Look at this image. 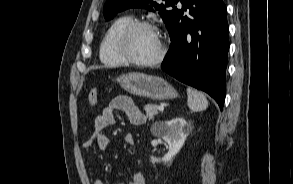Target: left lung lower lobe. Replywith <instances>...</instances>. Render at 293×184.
<instances>
[{"instance_id":"1","label":"left lung lower lobe","mask_w":293,"mask_h":184,"mask_svg":"<svg viewBox=\"0 0 293 184\" xmlns=\"http://www.w3.org/2000/svg\"><path fill=\"white\" fill-rule=\"evenodd\" d=\"M169 26L171 45L161 68L179 81L203 90L222 109L229 50L223 0H179Z\"/></svg>"}]
</instances>
